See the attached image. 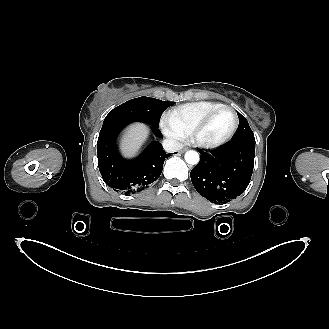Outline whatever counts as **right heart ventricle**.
I'll return each mask as SVG.
<instances>
[{"label": "right heart ventricle", "mask_w": 329, "mask_h": 329, "mask_svg": "<svg viewBox=\"0 0 329 329\" xmlns=\"http://www.w3.org/2000/svg\"><path fill=\"white\" fill-rule=\"evenodd\" d=\"M222 105L224 104L214 101L187 103L170 110L167 117L179 130L188 135L195 124L209 112Z\"/></svg>", "instance_id": "e07e8e85"}]
</instances>
